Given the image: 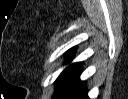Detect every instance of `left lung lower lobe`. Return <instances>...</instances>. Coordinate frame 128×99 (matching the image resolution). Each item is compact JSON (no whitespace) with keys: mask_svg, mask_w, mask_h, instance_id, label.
Here are the masks:
<instances>
[{"mask_svg":"<svg viewBox=\"0 0 128 99\" xmlns=\"http://www.w3.org/2000/svg\"><path fill=\"white\" fill-rule=\"evenodd\" d=\"M80 66L72 64L60 74L53 99H89L85 83L79 80Z\"/></svg>","mask_w":128,"mask_h":99,"instance_id":"left-lung-lower-lobe-1","label":"left lung lower lobe"}]
</instances>
